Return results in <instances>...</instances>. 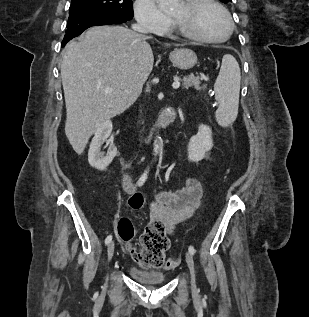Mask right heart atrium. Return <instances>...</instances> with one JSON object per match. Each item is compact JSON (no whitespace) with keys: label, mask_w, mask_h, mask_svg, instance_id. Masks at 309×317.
I'll list each match as a JSON object with an SVG mask.
<instances>
[{"label":"right heart atrium","mask_w":309,"mask_h":317,"mask_svg":"<svg viewBox=\"0 0 309 317\" xmlns=\"http://www.w3.org/2000/svg\"><path fill=\"white\" fill-rule=\"evenodd\" d=\"M133 11L139 27L145 32L158 34L171 26L170 18L155 0H135Z\"/></svg>","instance_id":"d8ad5b80"}]
</instances>
